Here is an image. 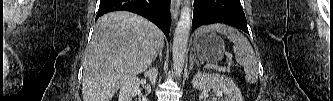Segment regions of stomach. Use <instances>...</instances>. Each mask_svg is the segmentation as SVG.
<instances>
[{
  "mask_svg": "<svg viewBox=\"0 0 333 101\" xmlns=\"http://www.w3.org/2000/svg\"><path fill=\"white\" fill-rule=\"evenodd\" d=\"M195 55L208 63H218L225 52L223 39L214 32L196 33L193 41Z\"/></svg>",
  "mask_w": 333,
  "mask_h": 101,
  "instance_id": "1",
  "label": "stomach"
}]
</instances>
